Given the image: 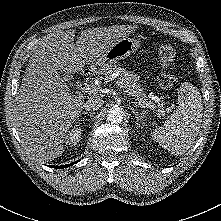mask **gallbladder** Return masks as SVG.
I'll return each mask as SVG.
<instances>
[{
  "label": "gallbladder",
  "mask_w": 221,
  "mask_h": 221,
  "mask_svg": "<svg viewBox=\"0 0 221 221\" xmlns=\"http://www.w3.org/2000/svg\"><path fill=\"white\" fill-rule=\"evenodd\" d=\"M65 75H66V78H67V79L70 78V75H69V74L65 73Z\"/></svg>",
  "instance_id": "obj_1"
}]
</instances>
